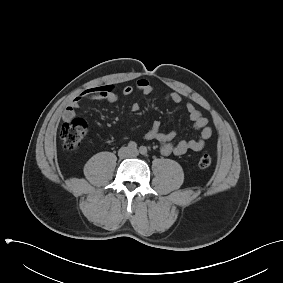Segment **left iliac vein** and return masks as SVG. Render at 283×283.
<instances>
[{
    "instance_id": "left-iliac-vein-1",
    "label": "left iliac vein",
    "mask_w": 283,
    "mask_h": 283,
    "mask_svg": "<svg viewBox=\"0 0 283 283\" xmlns=\"http://www.w3.org/2000/svg\"><path fill=\"white\" fill-rule=\"evenodd\" d=\"M130 153L132 156H137L139 154L138 150H132Z\"/></svg>"
}]
</instances>
